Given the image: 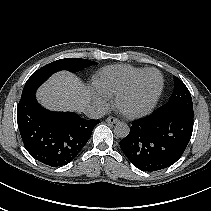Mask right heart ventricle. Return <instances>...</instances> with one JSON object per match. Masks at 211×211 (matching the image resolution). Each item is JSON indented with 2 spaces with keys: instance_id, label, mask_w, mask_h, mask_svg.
<instances>
[{
  "instance_id": "right-heart-ventricle-1",
  "label": "right heart ventricle",
  "mask_w": 211,
  "mask_h": 211,
  "mask_svg": "<svg viewBox=\"0 0 211 211\" xmlns=\"http://www.w3.org/2000/svg\"><path fill=\"white\" fill-rule=\"evenodd\" d=\"M144 70L130 65L108 66L95 76L94 84L108 96H117Z\"/></svg>"
}]
</instances>
